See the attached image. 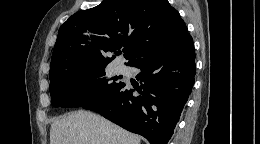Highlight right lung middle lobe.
Listing matches in <instances>:
<instances>
[{
    "mask_svg": "<svg viewBox=\"0 0 260 144\" xmlns=\"http://www.w3.org/2000/svg\"><path fill=\"white\" fill-rule=\"evenodd\" d=\"M106 66L88 67L57 73L50 77L51 104L80 107L92 103L119 87L122 82L105 76Z\"/></svg>",
    "mask_w": 260,
    "mask_h": 144,
    "instance_id": "dd1d6c3e",
    "label": "right lung middle lobe"
}]
</instances>
